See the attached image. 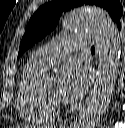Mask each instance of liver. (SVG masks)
<instances>
[{
    "mask_svg": "<svg viewBox=\"0 0 125 128\" xmlns=\"http://www.w3.org/2000/svg\"><path fill=\"white\" fill-rule=\"evenodd\" d=\"M50 128H53V126H49ZM15 128H27V127H22V126H16Z\"/></svg>",
    "mask_w": 125,
    "mask_h": 128,
    "instance_id": "1",
    "label": "liver"
}]
</instances>
